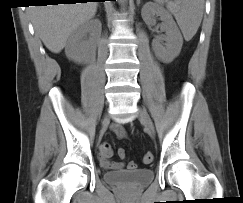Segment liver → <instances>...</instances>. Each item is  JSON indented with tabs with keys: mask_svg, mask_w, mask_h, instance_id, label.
Instances as JSON below:
<instances>
[{
	"mask_svg": "<svg viewBox=\"0 0 243 203\" xmlns=\"http://www.w3.org/2000/svg\"><path fill=\"white\" fill-rule=\"evenodd\" d=\"M97 11V2L33 6L30 9L36 33L53 53H59L68 37Z\"/></svg>",
	"mask_w": 243,
	"mask_h": 203,
	"instance_id": "1",
	"label": "liver"
}]
</instances>
